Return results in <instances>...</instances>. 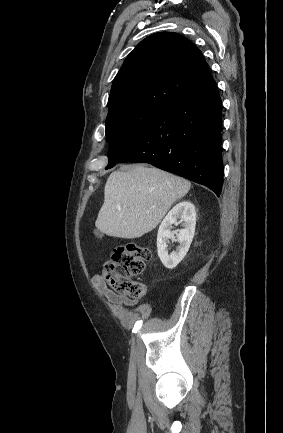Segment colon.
I'll return each instance as SVG.
<instances>
[{
    "label": "colon",
    "mask_w": 283,
    "mask_h": 433,
    "mask_svg": "<svg viewBox=\"0 0 283 433\" xmlns=\"http://www.w3.org/2000/svg\"><path fill=\"white\" fill-rule=\"evenodd\" d=\"M150 258V250L146 247L134 243L117 247L102 266V278L116 294L141 299L146 287L133 278L144 271Z\"/></svg>",
    "instance_id": "1"
}]
</instances>
